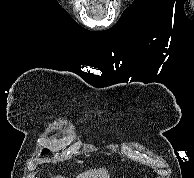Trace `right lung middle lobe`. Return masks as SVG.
<instances>
[{
    "label": "right lung middle lobe",
    "instance_id": "dd1d6c3e",
    "mask_svg": "<svg viewBox=\"0 0 194 178\" xmlns=\"http://www.w3.org/2000/svg\"><path fill=\"white\" fill-rule=\"evenodd\" d=\"M47 152H49V150L48 149H44L43 152H42V154L43 153H47Z\"/></svg>",
    "mask_w": 194,
    "mask_h": 178
}]
</instances>
